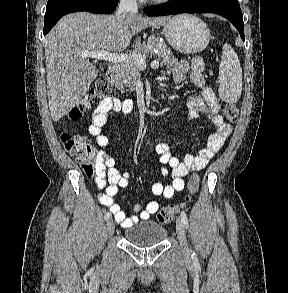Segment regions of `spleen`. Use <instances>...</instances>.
<instances>
[{"label":"spleen","mask_w":288,"mask_h":293,"mask_svg":"<svg viewBox=\"0 0 288 293\" xmlns=\"http://www.w3.org/2000/svg\"><path fill=\"white\" fill-rule=\"evenodd\" d=\"M219 79L220 98L231 104L237 102L242 92V68L237 54L228 43L223 46Z\"/></svg>","instance_id":"spleen-1"}]
</instances>
